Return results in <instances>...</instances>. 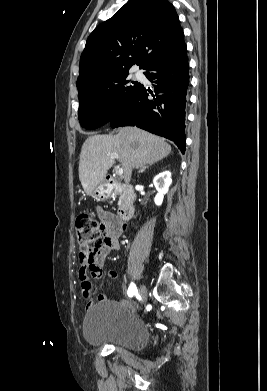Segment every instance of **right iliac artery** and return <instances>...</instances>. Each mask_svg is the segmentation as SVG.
<instances>
[{
  "label": "right iliac artery",
  "instance_id": "obj_1",
  "mask_svg": "<svg viewBox=\"0 0 267 391\" xmlns=\"http://www.w3.org/2000/svg\"><path fill=\"white\" fill-rule=\"evenodd\" d=\"M135 293H137V288L134 283H131L130 287L128 288V295L129 297H133Z\"/></svg>",
  "mask_w": 267,
  "mask_h": 391
}]
</instances>
